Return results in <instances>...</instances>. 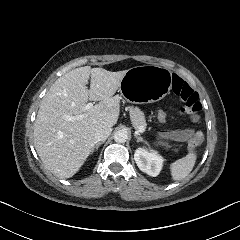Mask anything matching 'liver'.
I'll use <instances>...</instances> for the list:
<instances>
[{
  "instance_id": "obj_1",
  "label": "liver",
  "mask_w": 240,
  "mask_h": 240,
  "mask_svg": "<svg viewBox=\"0 0 240 240\" xmlns=\"http://www.w3.org/2000/svg\"><path fill=\"white\" fill-rule=\"evenodd\" d=\"M91 74L90 86H86ZM126 70L111 72L83 66L59 77L42 99L34 126L35 149L55 176L71 177L88 157L97 128L113 126L119 116V88ZM84 120L66 121L83 112L88 101H98Z\"/></svg>"
}]
</instances>
